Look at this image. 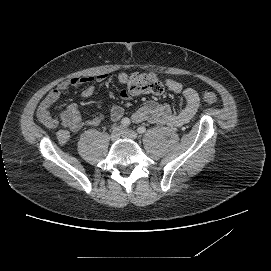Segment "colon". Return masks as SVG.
<instances>
[{"instance_id": "obj_1", "label": "colon", "mask_w": 271, "mask_h": 271, "mask_svg": "<svg viewBox=\"0 0 271 271\" xmlns=\"http://www.w3.org/2000/svg\"><path fill=\"white\" fill-rule=\"evenodd\" d=\"M125 85L127 92L131 96L141 94L159 95L163 92V84L153 73H133L128 77ZM202 97L211 104L218 102L217 96L212 92H204Z\"/></svg>"}]
</instances>
